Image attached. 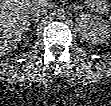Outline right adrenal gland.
<instances>
[{
	"instance_id": "obj_1",
	"label": "right adrenal gland",
	"mask_w": 111,
	"mask_h": 106,
	"mask_svg": "<svg viewBox=\"0 0 111 106\" xmlns=\"http://www.w3.org/2000/svg\"><path fill=\"white\" fill-rule=\"evenodd\" d=\"M38 21H39V17H35V18L28 20L26 25H25V32L29 31V27L31 25V22H34L36 24Z\"/></svg>"
}]
</instances>
